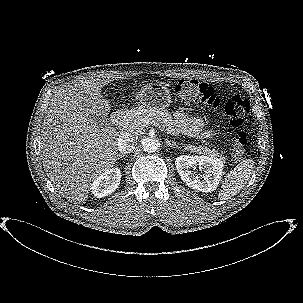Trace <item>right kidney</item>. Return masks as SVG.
Here are the masks:
<instances>
[{
	"instance_id": "obj_1",
	"label": "right kidney",
	"mask_w": 303,
	"mask_h": 303,
	"mask_svg": "<svg viewBox=\"0 0 303 303\" xmlns=\"http://www.w3.org/2000/svg\"><path fill=\"white\" fill-rule=\"evenodd\" d=\"M121 180V172L118 168L109 169L101 173L92 183L91 192L97 198H102L114 192Z\"/></svg>"
}]
</instances>
